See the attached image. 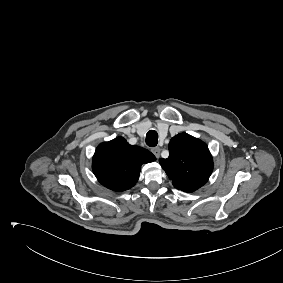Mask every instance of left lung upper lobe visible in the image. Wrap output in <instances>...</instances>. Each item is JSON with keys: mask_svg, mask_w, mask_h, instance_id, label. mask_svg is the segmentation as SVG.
<instances>
[{"mask_svg": "<svg viewBox=\"0 0 283 283\" xmlns=\"http://www.w3.org/2000/svg\"><path fill=\"white\" fill-rule=\"evenodd\" d=\"M169 157L159 163L178 190L194 192L209 179L213 160L207 145L187 134L174 136L168 145Z\"/></svg>", "mask_w": 283, "mask_h": 283, "instance_id": "1", "label": "left lung upper lobe"}]
</instances>
